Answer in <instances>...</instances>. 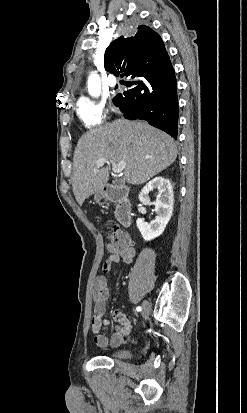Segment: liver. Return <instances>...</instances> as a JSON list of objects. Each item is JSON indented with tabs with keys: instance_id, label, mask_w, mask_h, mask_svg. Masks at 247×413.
I'll list each match as a JSON object with an SVG mask.
<instances>
[{
	"instance_id": "1",
	"label": "liver",
	"mask_w": 247,
	"mask_h": 413,
	"mask_svg": "<svg viewBox=\"0 0 247 413\" xmlns=\"http://www.w3.org/2000/svg\"><path fill=\"white\" fill-rule=\"evenodd\" d=\"M176 156L173 138L148 122L118 118L90 128L80 136L73 156L75 198L83 204L87 196L102 190L109 180L110 164L101 168L96 164L98 158L125 160L126 182L143 184L172 164Z\"/></svg>"
}]
</instances>
